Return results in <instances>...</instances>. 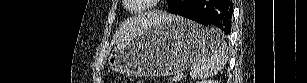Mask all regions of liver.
Wrapping results in <instances>:
<instances>
[{
  "mask_svg": "<svg viewBox=\"0 0 307 83\" xmlns=\"http://www.w3.org/2000/svg\"><path fill=\"white\" fill-rule=\"evenodd\" d=\"M173 15L163 12H152L126 21L116 31L113 42L116 44L124 43L131 38L141 34L149 25H157L161 22L170 20Z\"/></svg>",
  "mask_w": 307,
  "mask_h": 83,
  "instance_id": "liver-1",
  "label": "liver"
}]
</instances>
